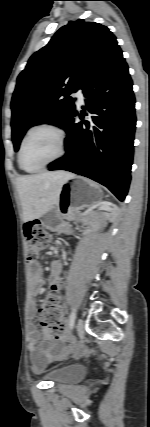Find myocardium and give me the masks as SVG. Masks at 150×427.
Returning a JSON list of instances; mask_svg holds the SVG:
<instances>
[{
    "label": "myocardium",
    "instance_id": "1",
    "mask_svg": "<svg viewBox=\"0 0 150 427\" xmlns=\"http://www.w3.org/2000/svg\"><path fill=\"white\" fill-rule=\"evenodd\" d=\"M39 131H50V132L54 133L57 136V139H58L59 150H58V153L56 154V156L53 157L48 162L44 163L43 165H41L40 167H38V168H36L34 170H28L23 165V160H22L23 151H24L25 145H26L27 141L29 140V138L33 134H35L36 132H39ZM65 151H66V134H65L64 130L61 129L60 127H58V126H55V125L41 124V125H38V126H35L34 128H32L26 134V136L23 138V140L21 142L20 149H19V153H18L19 165L26 172H29V173L39 172V171L45 169L47 166H49L52 163H54L57 160H59L65 154Z\"/></svg>",
    "mask_w": 150,
    "mask_h": 427
}]
</instances>
